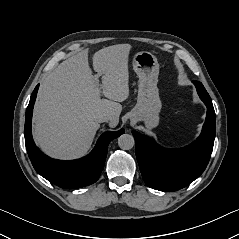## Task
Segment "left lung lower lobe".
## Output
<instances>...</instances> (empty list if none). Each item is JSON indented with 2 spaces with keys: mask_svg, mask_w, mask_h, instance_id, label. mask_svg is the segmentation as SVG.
<instances>
[{
  "mask_svg": "<svg viewBox=\"0 0 239 239\" xmlns=\"http://www.w3.org/2000/svg\"><path fill=\"white\" fill-rule=\"evenodd\" d=\"M207 106L202 133L196 141L180 149H165L155 141L132 131L136 157L145 183L160 191H177L189 185L205 170L214 145L215 111L209 94L199 81H193Z\"/></svg>",
  "mask_w": 239,
  "mask_h": 239,
  "instance_id": "left-lung-lower-lobe-1",
  "label": "left lung lower lobe"
}]
</instances>
